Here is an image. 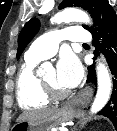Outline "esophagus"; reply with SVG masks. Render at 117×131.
<instances>
[{
    "label": "esophagus",
    "instance_id": "obj_1",
    "mask_svg": "<svg viewBox=\"0 0 117 131\" xmlns=\"http://www.w3.org/2000/svg\"><path fill=\"white\" fill-rule=\"evenodd\" d=\"M91 93V89L90 88H86L84 91V94L89 95Z\"/></svg>",
    "mask_w": 117,
    "mask_h": 131
}]
</instances>
